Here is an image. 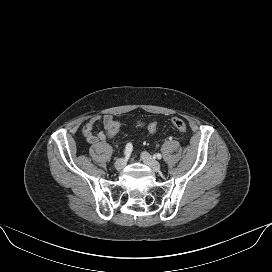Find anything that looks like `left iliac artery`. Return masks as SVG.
<instances>
[{
  "label": "left iliac artery",
  "mask_w": 272,
  "mask_h": 272,
  "mask_svg": "<svg viewBox=\"0 0 272 272\" xmlns=\"http://www.w3.org/2000/svg\"><path fill=\"white\" fill-rule=\"evenodd\" d=\"M155 157H156L157 159H161V158H162V155H161L160 153H157V154L155 155Z\"/></svg>",
  "instance_id": "obj_1"
}]
</instances>
